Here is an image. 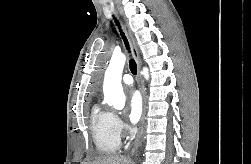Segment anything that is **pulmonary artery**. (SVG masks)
<instances>
[{
	"mask_svg": "<svg viewBox=\"0 0 251 164\" xmlns=\"http://www.w3.org/2000/svg\"><path fill=\"white\" fill-rule=\"evenodd\" d=\"M122 81L126 85H132L133 84V78L130 74H124L122 77Z\"/></svg>",
	"mask_w": 251,
	"mask_h": 164,
	"instance_id": "pulmonary-artery-1",
	"label": "pulmonary artery"
}]
</instances>
